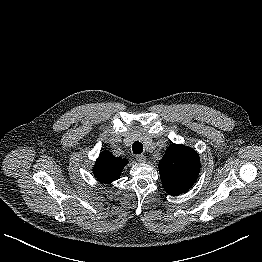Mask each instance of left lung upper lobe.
Returning <instances> with one entry per match:
<instances>
[{
	"label": "left lung upper lobe",
	"instance_id": "1",
	"mask_svg": "<svg viewBox=\"0 0 262 262\" xmlns=\"http://www.w3.org/2000/svg\"><path fill=\"white\" fill-rule=\"evenodd\" d=\"M200 171L197 152L184 145L171 144L159 162V173L165 191L173 196L188 191Z\"/></svg>",
	"mask_w": 262,
	"mask_h": 262
}]
</instances>
